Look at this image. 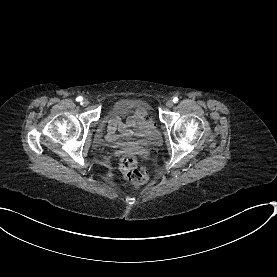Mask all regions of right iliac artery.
I'll list each match as a JSON object with an SVG mask.
<instances>
[{
	"mask_svg": "<svg viewBox=\"0 0 277 277\" xmlns=\"http://www.w3.org/2000/svg\"><path fill=\"white\" fill-rule=\"evenodd\" d=\"M77 101L81 102L83 100V98L81 96L77 97L76 99Z\"/></svg>",
	"mask_w": 277,
	"mask_h": 277,
	"instance_id": "right-iliac-artery-1",
	"label": "right iliac artery"
}]
</instances>
